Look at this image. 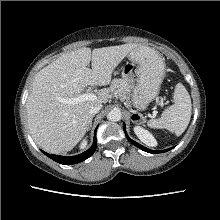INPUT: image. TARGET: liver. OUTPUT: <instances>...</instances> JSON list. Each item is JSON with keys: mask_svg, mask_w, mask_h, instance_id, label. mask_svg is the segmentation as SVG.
<instances>
[{"mask_svg": "<svg viewBox=\"0 0 220 220\" xmlns=\"http://www.w3.org/2000/svg\"><path fill=\"white\" fill-rule=\"evenodd\" d=\"M137 47L134 43L93 51L83 47L40 70L26 102L28 126L35 142L50 153L72 150L88 130L89 108L105 104L110 89H100L93 101L68 104L64 100L79 96L86 86L108 85L114 69ZM90 61L92 69L88 67Z\"/></svg>", "mask_w": 220, "mask_h": 220, "instance_id": "obj_1", "label": "liver"}]
</instances>
